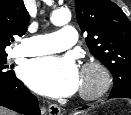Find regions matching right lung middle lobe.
Masks as SVG:
<instances>
[{
  "label": "right lung middle lobe",
  "mask_w": 131,
  "mask_h": 115,
  "mask_svg": "<svg viewBox=\"0 0 131 115\" xmlns=\"http://www.w3.org/2000/svg\"><path fill=\"white\" fill-rule=\"evenodd\" d=\"M7 54L0 55V81L9 80L15 76L12 70H8V65H6Z\"/></svg>",
  "instance_id": "obj_1"
}]
</instances>
